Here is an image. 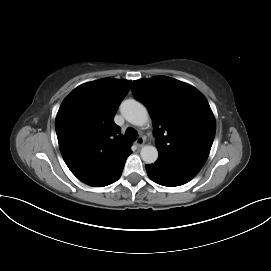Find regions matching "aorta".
I'll use <instances>...</instances> for the list:
<instances>
[{
  "label": "aorta",
  "instance_id": "obj_1",
  "mask_svg": "<svg viewBox=\"0 0 271 271\" xmlns=\"http://www.w3.org/2000/svg\"><path fill=\"white\" fill-rule=\"evenodd\" d=\"M121 113L124 118L133 125L143 126L148 122L147 109L140 102L128 99L121 104ZM142 160L147 164L154 163L158 158V150L155 146L145 145L140 152Z\"/></svg>",
  "mask_w": 271,
  "mask_h": 271
}]
</instances>
